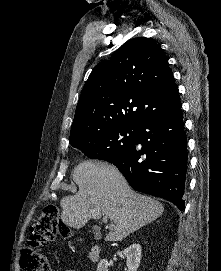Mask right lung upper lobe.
<instances>
[{"label": "right lung upper lobe", "instance_id": "cb5924a9", "mask_svg": "<svg viewBox=\"0 0 221 271\" xmlns=\"http://www.w3.org/2000/svg\"><path fill=\"white\" fill-rule=\"evenodd\" d=\"M180 104L163 50L147 38L131 39L90 74L76 107L70 141L114 126L138 127Z\"/></svg>", "mask_w": 221, "mask_h": 271}]
</instances>
